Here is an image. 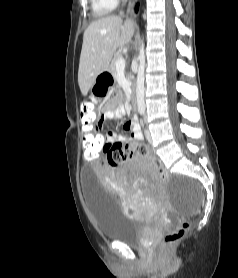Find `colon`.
Listing matches in <instances>:
<instances>
[{
  "label": "colon",
  "mask_w": 238,
  "mask_h": 278,
  "mask_svg": "<svg viewBox=\"0 0 238 278\" xmlns=\"http://www.w3.org/2000/svg\"><path fill=\"white\" fill-rule=\"evenodd\" d=\"M102 121V114H100L92 101H85L81 105L80 129L83 138L84 152L83 159L86 162H97L100 159V153H103L104 138L96 137L94 127ZM106 156L109 164L118 165L127 159H139L146 162L148 165L154 167L163 181H167L169 174L165 169L163 163L153 157L149 149L138 143H131L123 146L119 143H112L105 147ZM190 223L183 220L175 229L168 232L163 240V248L167 249L179 242L185 235Z\"/></svg>",
  "instance_id": "obj_1"
}]
</instances>
